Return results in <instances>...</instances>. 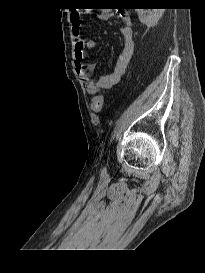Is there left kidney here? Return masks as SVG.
Returning <instances> with one entry per match:
<instances>
[{
	"mask_svg": "<svg viewBox=\"0 0 205 273\" xmlns=\"http://www.w3.org/2000/svg\"><path fill=\"white\" fill-rule=\"evenodd\" d=\"M141 23L148 28L155 26L162 17L165 9H135Z\"/></svg>",
	"mask_w": 205,
	"mask_h": 273,
	"instance_id": "obj_1",
	"label": "left kidney"
}]
</instances>
